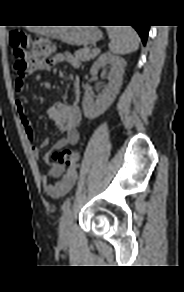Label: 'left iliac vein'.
<instances>
[{
    "label": "left iliac vein",
    "mask_w": 184,
    "mask_h": 292,
    "mask_svg": "<svg viewBox=\"0 0 184 292\" xmlns=\"http://www.w3.org/2000/svg\"><path fill=\"white\" fill-rule=\"evenodd\" d=\"M73 229V215L71 211L64 214L59 225V239L61 241L69 238Z\"/></svg>",
    "instance_id": "obj_1"
}]
</instances>
